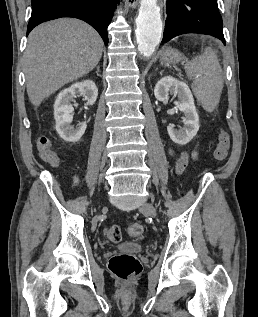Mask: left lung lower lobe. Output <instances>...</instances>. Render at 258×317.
I'll use <instances>...</instances> for the list:
<instances>
[{"instance_id":"obj_1","label":"left lung lower lobe","mask_w":258,"mask_h":317,"mask_svg":"<svg viewBox=\"0 0 258 317\" xmlns=\"http://www.w3.org/2000/svg\"><path fill=\"white\" fill-rule=\"evenodd\" d=\"M167 18L162 43L186 33L207 34L225 45L217 0H167Z\"/></svg>"}]
</instances>
